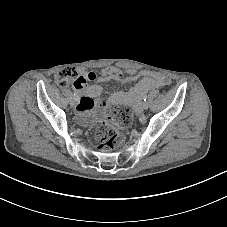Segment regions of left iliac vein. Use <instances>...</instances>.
I'll return each mask as SVG.
<instances>
[{
	"label": "left iliac vein",
	"instance_id": "1",
	"mask_svg": "<svg viewBox=\"0 0 227 227\" xmlns=\"http://www.w3.org/2000/svg\"><path fill=\"white\" fill-rule=\"evenodd\" d=\"M148 106H149L148 102L144 101V102L142 103V108H143L144 110L148 109Z\"/></svg>",
	"mask_w": 227,
	"mask_h": 227
}]
</instances>
